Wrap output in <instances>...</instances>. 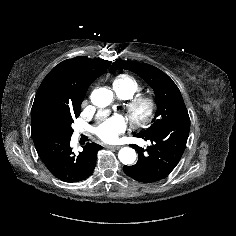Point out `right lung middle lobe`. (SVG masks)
<instances>
[{"instance_id":"dd1d6c3e","label":"right lung middle lobe","mask_w":236,"mask_h":236,"mask_svg":"<svg viewBox=\"0 0 236 236\" xmlns=\"http://www.w3.org/2000/svg\"><path fill=\"white\" fill-rule=\"evenodd\" d=\"M80 112L72 114L70 112H59L47 116L41 126L42 132L60 135L63 137H71L73 129L71 124L74 118L79 116Z\"/></svg>"}]
</instances>
